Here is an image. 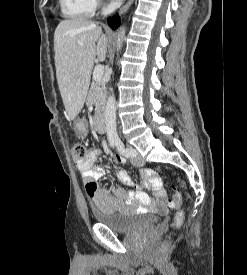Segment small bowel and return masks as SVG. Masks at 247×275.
I'll list each match as a JSON object with an SVG mask.
<instances>
[{
	"label": "small bowel",
	"mask_w": 247,
	"mask_h": 275,
	"mask_svg": "<svg viewBox=\"0 0 247 275\" xmlns=\"http://www.w3.org/2000/svg\"><path fill=\"white\" fill-rule=\"evenodd\" d=\"M99 150L90 151L84 160L77 162V168L85 184L94 183L96 191L89 197L94 205L103 212H130V211H156L167 210L170 203L167 200L166 191L163 188L162 179L159 174L152 169H141L140 174L144 179V185L153 192L151 198L140 186L134 184L131 176L125 171H119L117 177L131 190L118 188L113 191L99 188L98 181L104 175L103 169L97 165ZM119 163H124L125 159L117 155Z\"/></svg>",
	"instance_id": "small-bowel-1"
}]
</instances>
